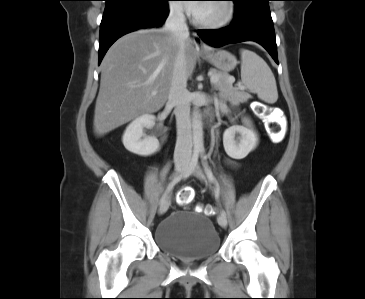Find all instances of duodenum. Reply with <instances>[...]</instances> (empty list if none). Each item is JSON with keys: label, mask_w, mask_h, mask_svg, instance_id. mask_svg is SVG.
<instances>
[{"label": "duodenum", "mask_w": 365, "mask_h": 299, "mask_svg": "<svg viewBox=\"0 0 365 299\" xmlns=\"http://www.w3.org/2000/svg\"><path fill=\"white\" fill-rule=\"evenodd\" d=\"M209 117V115H205V118L207 119Z\"/></svg>", "instance_id": "1"}]
</instances>
